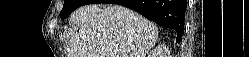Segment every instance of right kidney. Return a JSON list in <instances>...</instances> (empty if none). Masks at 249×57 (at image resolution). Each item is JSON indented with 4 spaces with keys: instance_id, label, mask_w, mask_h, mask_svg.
Masks as SVG:
<instances>
[{
    "instance_id": "1",
    "label": "right kidney",
    "mask_w": 249,
    "mask_h": 57,
    "mask_svg": "<svg viewBox=\"0 0 249 57\" xmlns=\"http://www.w3.org/2000/svg\"><path fill=\"white\" fill-rule=\"evenodd\" d=\"M160 55H161V52H160V51L155 52V56H156V57H158V56H160Z\"/></svg>"
}]
</instances>
